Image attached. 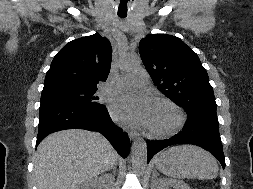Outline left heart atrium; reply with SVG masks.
<instances>
[{
    "label": "left heart atrium",
    "mask_w": 253,
    "mask_h": 189,
    "mask_svg": "<svg viewBox=\"0 0 253 189\" xmlns=\"http://www.w3.org/2000/svg\"><path fill=\"white\" fill-rule=\"evenodd\" d=\"M153 106L146 95L125 93L117 96L111 105L114 120L128 126H149Z\"/></svg>",
    "instance_id": "1"
}]
</instances>
